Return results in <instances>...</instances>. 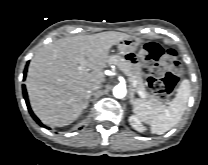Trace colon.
<instances>
[{
	"mask_svg": "<svg viewBox=\"0 0 208 165\" xmlns=\"http://www.w3.org/2000/svg\"><path fill=\"white\" fill-rule=\"evenodd\" d=\"M142 71L149 75L150 88L161 98L172 94L179 81L181 64L177 52L163 49L155 43L146 44L141 50Z\"/></svg>",
	"mask_w": 208,
	"mask_h": 165,
	"instance_id": "obj_1",
	"label": "colon"
}]
</instances>
